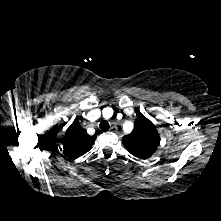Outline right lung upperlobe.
<instances>
[{
    "label": "right lung upper lobe",
    "mask_w": 221,
    "mask_h": 221,
    "mask_svg": "<svg viewBox=\"0 0 221 221\" xmlns=\"http://www.w3.org/2000/svg\"><path fill=\"white\" fill-rule=\"evenodd\" d=\"M96 136H89L77 120L67 129L64 138V154L71 158H78L88 152Z\"/></svg>",
    "instance_id": "1"
}]
</instances>
